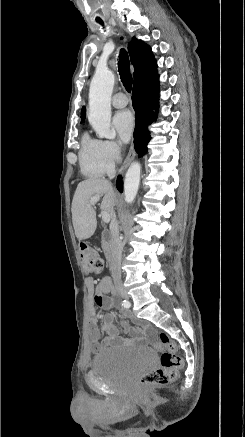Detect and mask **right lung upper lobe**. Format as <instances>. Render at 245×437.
<instances>
[{"label":"right lung upper lobe","instance_id":"right-lung-upper-lobe-1","mask_svg":"<svg viewBox=\"0 0 245 437\" xmlns=\"http://www.w3.org/2000/svg\"><path fill=\"white\" fill-rule=\"evenodd\" d=\"M131 63L134 65V86L155 80L157 74V62L151 52L150 47L142 40L133 38L129 45ZM86 108L82 107L81 122L85 120Z\"/></svg>","mask_w":245,"mask_h":437}]
</instances>
